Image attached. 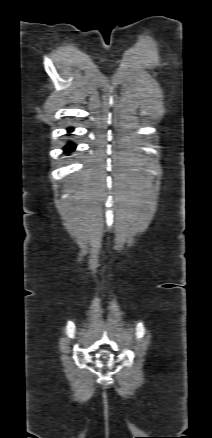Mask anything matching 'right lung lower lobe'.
<instances>
[{"label":"right lung lower lobe","mask_w":212,"mask_h":438,"mask_svg":"<svg viewBox=\"0 0 212 438\" xmlns=\"http://www.w3.org/2000/svg\"><path fill=\"white\" fill-rule=\"evenodd\" d=\"M70 130H71V129H70ZM75 147H76V146H75L73 143H69L68 145L65 146L64 149H65V152L68 153V152L73 151V150L75 149Z\"/></svg>","instance_id":"obj_1"}]
</instances>
